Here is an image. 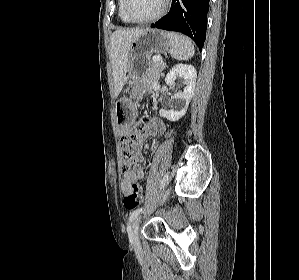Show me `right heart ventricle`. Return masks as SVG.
Wrapping results in <instances>:
<instances>
[{
	"instance_id": "e07e8e85",
	"label": "right heart ventricle",
	"mask_w": 299,
	"mask_h": 280,
	"mask_svg": "<svg viewBox=\"0 0 299 280\" xmlns=\"http://www.w3.org/2000/svg\"><path fill=\"white\" fill-rule=\"evenodd\" d=\"M119 17H120V19L122 20L123 23H125V24L131 23L127 19L126 15L124 13V0H119Z\"/></svg>"
}]
</instances>
